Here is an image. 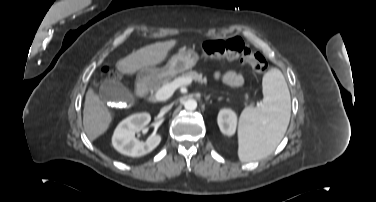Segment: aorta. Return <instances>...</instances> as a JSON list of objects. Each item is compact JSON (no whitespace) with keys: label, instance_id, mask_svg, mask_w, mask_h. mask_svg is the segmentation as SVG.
I'll return each instance as SVG.
<instances>
[{"label":"aorta","instance_id":"1","mask_svg":"<svg viewBox=\"0 0 376 202\" xmlns=\"http://www.w3.org/2000/svg\"><path fill=\"white\" fill-rule=\"evenodd\" d=\"M184 107L189 111L195 110L197 108V101L195 99H188L184 102Z\"/></svg>","mask_w":376,"mask_h":202}]
</instances>
